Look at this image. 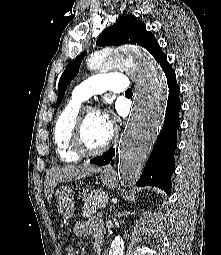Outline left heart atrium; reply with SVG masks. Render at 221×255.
<instances>
[{
	"mask_svg": "<svg viewBox=\"0 0 221 255\" xmlns=\"http://www.w3.org/2000/svg\"><path fill=\"white\" fill-rule=\"evenodd\" d=\"M100 116H101V118H102L104 124H105L108 128L111 129V127H112V118H111L110 112H108V111H107V112H102V113L100 114Z\"/></svg>",
	"mask_w": 221,
	"mask_h": 255,
	"instance_id": "1",
	"label": "left heart atrium"
}]
</instances>
